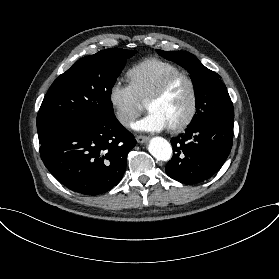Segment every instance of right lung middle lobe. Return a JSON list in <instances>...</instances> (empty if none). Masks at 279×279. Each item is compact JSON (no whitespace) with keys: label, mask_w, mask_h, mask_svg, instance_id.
Returning <instances> with one entry per match:
<instances>
[{"label":"right lung middle lobe","mask_w":279,"mask_h":279,"mask_svg":"<svg viewBox=\"0 0 279 279\" xmlns=\"http://www.w3.org/2000/svg\"><path fill=\"white\" fill-rule=\"evenodd\" d=\"M134 51L111 48L86 56L55 79L37 115L38 133L49 124L115 119L110 96Z\"/></svg>","instance_id":"1"}]
</instances>
